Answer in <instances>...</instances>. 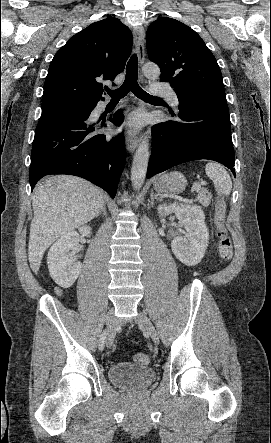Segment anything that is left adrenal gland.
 I'll return each mask as SVG.
<instances>
[{"instance_id":"left-adrenal-gland-1","label":"left adrenal gland","mask_w":271,"mask_h":443,"mask_svg":"<svg viewBox=\"0 0 271 443\" xmlns=\"http://www.w3.org/2000/svg\"><path fill=\"white\" fill-rule=\"evenodd\" d=\"M154 200H159V202H163L162 198H159V196H155L153 190H151V206H153Z\"/></svg>"}]
</instances>
